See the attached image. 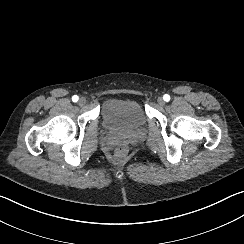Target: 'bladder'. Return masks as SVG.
Here are the masks:
<instances>
[{
    "instance_id": "bladder-1",
    "label": "bladder",
    "mask_w": 244,
    "mask_h": 244,
    "mask_svg": "<svg viewBox=\"0 0 244 244\" xmlns=\"http://www.w3.org/2000/svg\"><path fill=\"white\" fill-rule=\"evenodd\" d=\"M100 112L103 122L114 130L140 131L147 122L143 108L130 99H107Z\"/></svg>"
}]
</instances>
